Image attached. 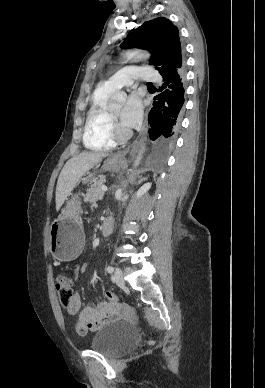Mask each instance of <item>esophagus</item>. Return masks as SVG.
Listing matches in <instances>:
<instances>
[{
  "label": "esophagus",
  "mask_w": 265,
  "mask_h": 388,
  "mask_svg": "<svg viewBox=\"0 0 265 388\" xmlns=\"http://www.w3.org/2000/svg\"><path fill=\"white\" fill-rule=\"evenodd\" d=\"M147 125H148V112H146L144 125H143V128H142L139 136H138V139L135 142H133L129 147H127L124 150H122L121 152L117 153L116 154L117 157H120L123 161H127L129 158L134 157L140 141L144 138V135H145L146 129H147Z\"/></svg>",
  "instance_id": "esophagus-1"
}]
</instances>
